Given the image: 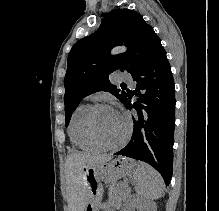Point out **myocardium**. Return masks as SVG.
Listing matches in <instances>:
<instances>
[{"instance_id":"obj_1","label":"myocardium","mask_w":219,"mask_h":211,"mask_svg":"<svg viewBox=\"0 0 219 211\" xmlns=\"http://www.w3.org/2000/svg\"><path fill=\"white\" fill-rule=\"evenodd\" d=\"M102 108H112L114 109L110 104L108 103H97L93 106H91V108L88 111L87 117H86V130L87 133L90 137V139L97 144L98 146L102 147V148H106V149H114V148H118L121 145L125 144L126 141L128 140L129 136H130V131L132 128V122L131 119L123 114L120 113V115L125 119L126 121V130L123 134V136L115 143H109L106 142L105 140H103L96 132L95 129V125H94V119H95V115L96 113L102 109Z\"/></svg>"}]
</instances>
